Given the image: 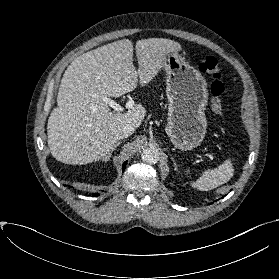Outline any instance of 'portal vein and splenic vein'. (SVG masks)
Masks as SVG:
<instances>
[{"label":"portal vein and splenic vein","mask_w":279,"mask_h":279,"mask_svg":"<svg viewBox=\"0 0 279 279\" xmlns=\"http://www.w3.org/2000/svg\"><path fill=\"white\" fill-rule=\"evenodd\" d=\"M104 101L106 104H108L115 112H122L124 110V108L119 105L117 102H115L114 100L105 97ZM134 106V101L133 100H129L127 101L125 107L127 109H131Z\"/></svg>","instance_id":"portal-vein-and-splenic-vein-1"}]
</instances>
